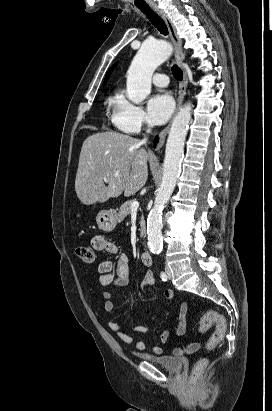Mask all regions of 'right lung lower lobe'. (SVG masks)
<instances>
[{"label":"right lung lower lobe","mask_w":272,"mask_h":411,"mask_svg":"<svg viewBox=\"0 0 272 411\" xmlns=\"http://www.w3.org/2000/svg\"><path fill=\"white\" fill-rule=\"evenodd\" d=\"M157 140H158V137L155 138V140H154V145H156Z\"/></svg>","instance_id":"right-lung-lower-lobe-1"}]
</instances>
